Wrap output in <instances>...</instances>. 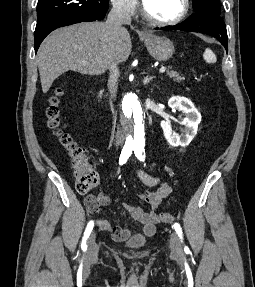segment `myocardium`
Segmentation results:
<instances>
[{"label":"myocardium","mask_w":255,"mask_h":287,"mask_svg":"<svg viewBox=\"0 0 255 287\" xmlns=\"http://www.w3.org/2000/svg\"><path fill=\"white\" fill-rule=\"evenodd\" d=\"M140 33H149V32H140ZM169 33H175V32H169ZM130 39H137V38H130ZM145 39H151V38H145ZM166 39H175V38H166ZM129 48H136V47H129ZM146 48H150V47H146Z\"/></svg>","instance_id":"obj_1"}]
</instances>
